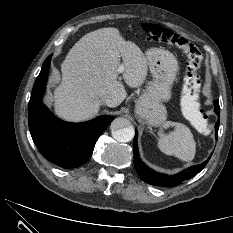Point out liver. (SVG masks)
<instances>
[{
	"label": "liver",
	"mask_w": 233,
	"mask_h": 233,
	"mask_svg": "<svg viewBox=\"0 0 233 233\" xmlns=\"http://www.w3.org/2000/svg\"><path fill=\"white\" fill-rule=\"evenodd\" d=\"M121 58L125 83L131 88L141 86L148 63L135 43L125 41L112 27L84 35L61 65L62 78L54 89L55 113L64 120L78 122L96 115L105 96L112 97V107L121 104L127 95L118 81Z\"/></svg>",
	"instance_id": "obj_1"
}]
</instances>
